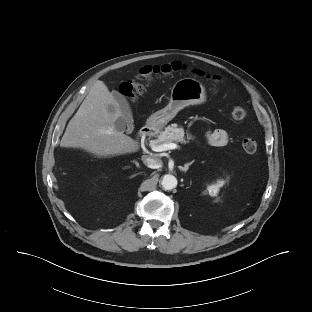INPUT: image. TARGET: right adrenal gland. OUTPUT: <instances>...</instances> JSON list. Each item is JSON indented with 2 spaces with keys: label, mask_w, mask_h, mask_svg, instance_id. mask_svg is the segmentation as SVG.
I'll list each match as a JSON object with an SVG mask.
<instances>
[{
  "label": "right adrenal gland",
  "mask_w": 312,
  "mask_h": 312,
  "mask_svg": "<svg viewBox=\"0 0 312 312\" xmlns=\"http://www.w3.org/2000/svg\"><path fill=\"white\" fill-rule=\"evenodd\" d=\"M133 163L136 165L137 168H139V163L136 161H133Z\"/></svg>",
  "instance_id": "2a0ac1e0"
}]
</instances>
